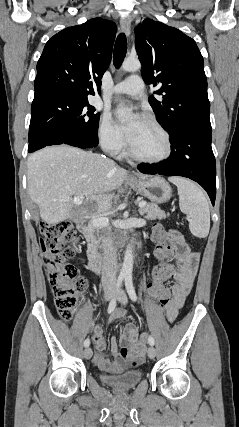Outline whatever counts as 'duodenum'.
I'll return each instance as SVG.
<instances>
[{
  "mask_svg": "<svg viewBox=\"0 0 239 427\" xmlns=\"http://www.w3.org/2000/svg\"><path fill=\"white\" fill-rule=\"evenodd\" d=\"M79 232L81 233L85 242L86 256L89 269L97 274L101 273L102 259L93 241L91 230L86 226H80Z\"/></svg>",
  "mask_w": 239,
  "mask_h": 427,
  "instance_id": "obj_1",
  "label": "duodenum"
}]
</instances>
